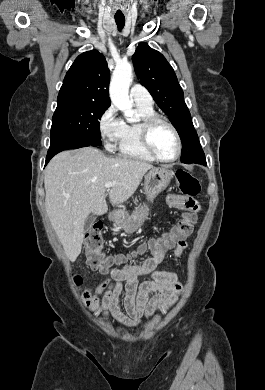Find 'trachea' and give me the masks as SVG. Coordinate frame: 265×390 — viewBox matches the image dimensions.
Returning <instances> with one entry per match:
<instances>
[{
	"label": "trachea",
	"mask_w": 265,
	"mask_h": 390,
	"mask_svg": "<svg viewBox=\"0 0 265 390\" xmlns=\"http://www.w3.org/2000/svg\"><path fill=\"white\" fill-rule=\"evenodd\" d=\"M118 30L121 31L125 25V18H115Z\"/></svg>",
	"instance_id": "1"
}]
</instances>
